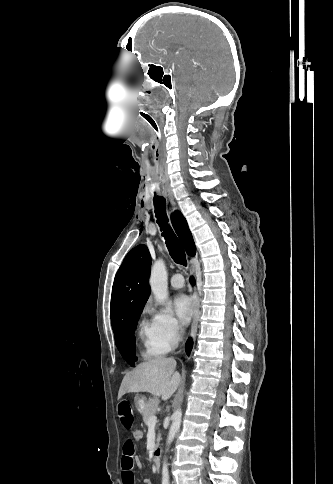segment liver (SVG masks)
<instances>
[{
	"mask_svg": "<svg viewBox=\"0 0 333 484\" xmlns=\"http://www.w3.org/2000/svg\"><path fill=\"white\" fill-rule=\"evenodd\" d=\"M174 358H156L140 363L127 373L120 385L118 400L126 393L148 392L168 400L179 387L181 376L175 371Z\"/></svg>",
	"mask_w": 333,
	"mask_h": 484,
	"instance_id": "liver-1",
	"label": "liver"
}]
</instances>
